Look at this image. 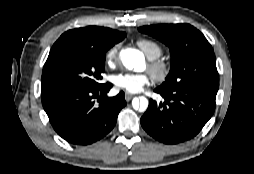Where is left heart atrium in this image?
Listing matches in <instances>:
<instances>
[{
	"label": "left heart atrium",
	"instance_id": "left-heart-atrium-1",
	"mask_svg": "<svg viewBox=\"0 0 254 174\" xmlns=\"http://www.w3.org/2000/svg\"><path fill=\"white\" fill-rule=\"evenodd\" d=\"M152 78L148 74L120 73L113 77L117 89L128 93H138L150 84Z\"/></svg>",
	"mask_w": 254,
	"mask_h": 174
}]
</instances>
